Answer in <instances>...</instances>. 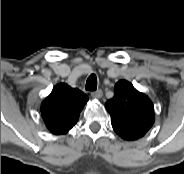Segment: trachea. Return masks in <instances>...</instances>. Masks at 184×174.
I'll use <instances>...</instances> for the list:
<instances>
[{
    "instance_id": "3493384b",
    "label": "trachea",
    "mask_w": 184,
    "mask_h": 174,
    "mask_svg": "<svg viewBox=\"0 0 184 174\" xmlns=\"http://www.w3.org/2000/svg\"><path fill=\"white\" fill-rule=\"evenodd\" d=\"M85 88L88 91H95L97 89V77L95 74H91L88 77Z\"/></svg>"
}]
</instances>
